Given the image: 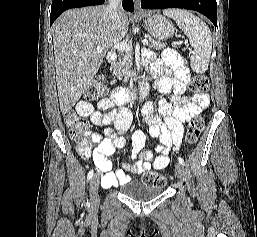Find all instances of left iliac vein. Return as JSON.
Here are the masks:
<instances>
[{
  "label": "left iliac vein",
  "mask_w": 257,
  "mask_h": 237,
  "mask_svg": "<svg viewBox=\"0 0 257 237\" xmlns=\"http://www.w3.org/2000/svg\"><path fill=\"white\" fill-rule=\"evenodd\" d=\"M175 171L179 179L184 180L186 177V171L184 166L181 163L175 164Z\"/></svg>",
  "instance_id": "1"
}]
</instances>
